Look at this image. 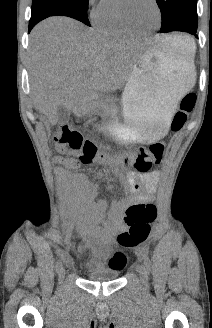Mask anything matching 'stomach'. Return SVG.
Segmentation results:
<instances>
[{
	"instance_id": "1",
	"label": "stomach",
	"mask_w": 212,
	"mask_h": 328,
	"mask_svg": "<svg viewBox=\"0 0 212 328\" xmlns=\"http://www.w3.org/2000/svg\"><path fill=\"white\" fill-rule=\"evenodd\" d=\"M193 55L165 39L137 61L117 102L119 138L153 142L165 136L179 99L195 84Z\"/></svg>"
}]
</instances>
